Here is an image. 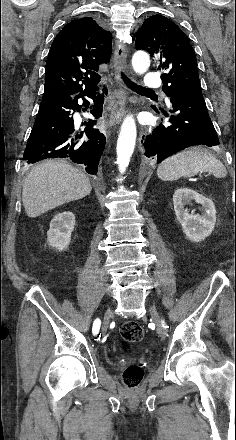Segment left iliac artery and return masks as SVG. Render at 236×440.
<instances>
[{
	"mask_svg": "<svg viewBox=\"0 0 236 440\" xmlns=\"http://www.w3.org/2000/svg\"><path fill=\"white\" fill-rule=\"evenodd\" d=\"M163 327L167 328V326H166V325H164V321H163Z\"/></svg>",
	"mask_w": 236,
	"mask_h": 440,
	"instance_id": "left-iliac-artery-1",
	"label": "left iliac artery"
}]
</instances>
